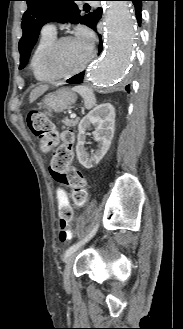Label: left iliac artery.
<instances>
[{"mask_svg": "<svg viewBox=\"0 0 183 329\" xmlns=\"http://www.w3.org/2000/svg\"><path fill=\"white\" fill-rule=\"evenodd\" d=\"M97 229H98V224L95 225L93 230L84 239H82L78 243L69 247L67 249V251L65 252V258L69 257L75 250H77L80 246H82L85 242H87L91 237H93V235L96 233Z\"/></svg>", "mask_w": 183, "mask_h": 329, "instance_id": "left-iliac-artery-1", "label": "left iliac artery"}]
</instances>
